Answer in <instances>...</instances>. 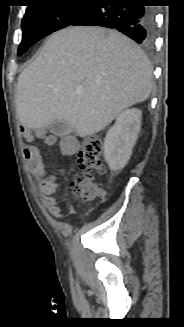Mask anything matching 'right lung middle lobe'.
Listing matches in <instances>:
<instances>
[{"label": "right lung middle lobe", "instance_id": "dd1d6c3e", "mask_svg": "<svg viewBox=\"0 0 184 327\" xmlns=\"http://www.w3.org/2000/svg\"><path fill=\"white\" fill-rule=\"evenodd\" d=\"M94 1L48 0L28 7L22 20L23 37L18 55H22L43 37L71 25L92 6Z\"/></svg>", "mask_w": 184, "mask_h": 327}]
</instances>
